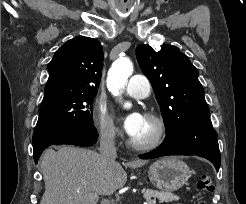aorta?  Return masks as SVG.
Instances as JSON below:
<instances>
[{
  "label": "aorta",
  "mask_w": 246,
  "mask_h": 204,
  "mask_svg": "<svg viewBox=\"0 0 246 204\" xmlns=\"http://www.w3.org/2000/svg\"><path fill=\"white\" fill-rule=\"evenodd\" d=\"M133 73V63L127 57L118 58L111 66L107 86L115 94H120L127 84L128 78ZM130 102L124 103V108H131Z\"/></svg>",
  "instance_id": "762f6f07"
}]
</instances>
